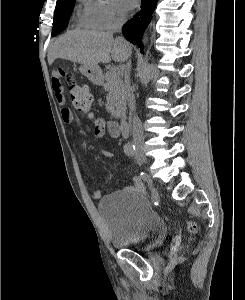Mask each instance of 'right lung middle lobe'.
Returning <instances> with one entry per match:
<instances>
[{"mask_svg":"<svg viewBox=\"0 0 245 300\" xmlns=\"http://www.w3.org/2000/svg\"><path fill=\"white\" fill-rule=\"evenodd\" d=\"M75 0H57L52 36H56L67 26V20L71 15Z\"/></svg>","mask_w":245,"mask_h":300,"instance_id":"obj_1","label":"right lung middle lobe"}]
</instances>
